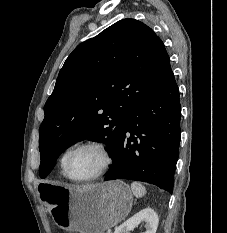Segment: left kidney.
I'll list each match as a JSON object with an SVG mask.
<instances>
[{"instance_id": "left-kidney-1", "label": "left kidney", "mask_w": 227, "mask_h": 233, "mask_svg": "<svg viewBox=\"0 0 227 233\" xmlns=\"http://www.w3.org/2000/svg\"><path fill=\"white\" fill-rule=\"evenodd\" d=\"M143 220L146 222V231L144 233H156L159 218L156 212L151 208H145L135 214L132 218L116 228L114 233H129V231L133 230Z\"/></svg>"}]
</instances>
